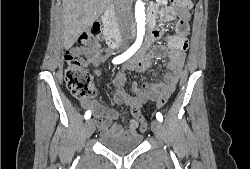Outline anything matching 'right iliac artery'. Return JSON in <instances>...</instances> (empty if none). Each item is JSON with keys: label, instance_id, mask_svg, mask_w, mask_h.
<instances>
[{"label": "right iliac artery", "instance_id": "1", "mask_svg": "<svg viewBox=\"0 0 250 169\" xmlns=\"http://www.w3.org/2000/svg\"><path fill=\"white\" fill-rule=\"evenodd\" d=\"M136 51H137L136 48L131 47V48H130L128 51H126L125 53H123V54H121V55L115 57V58L113 59L112 62H113L114 64H120V63L126 61L128 58H130ZM90 117H91V111L88 110V111H86V113H85V119H89Z\"/></svg>", "mask_w": 250, "mask_h": 169}]
</instances>
